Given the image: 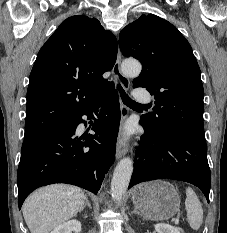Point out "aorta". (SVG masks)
<instances>
[{"instance_id":"1","label":"aorta","mask_w":227,"mask_h":233,"mask_svg":"<svg viewBox=\"0 0 227 233\" xmlns=\"http://www.w3.org/2000/svg\"><path fill=\"white\" fill-rule=\"evenodd\" d=\"M141 69V64L136 60H126L121 65L123 74L129 77L138 76L141 72ZM132 172V160L128 157L120 160L114 170L111 181V194L114 200L119 201L123 198L128 188Z\"/></svg>"}]
</instances>
